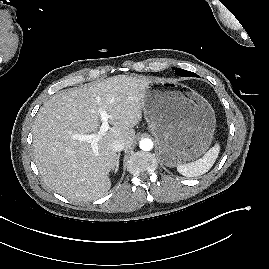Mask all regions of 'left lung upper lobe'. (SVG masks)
I'll list each match as a JSON object with an SVG mask.
<instances>
[{
    "label": "left lung upper lobe",
    "instance_id": "1",
    "mask_svg": "<svg viewBox=\"0 0 269 269\" xmlns=\"http://www.w3.org/2000/svg\"><path fill=\"white\" fill-rule=\"evenodd\" d=\"M175 74L182 77H198L197 74L187 71V70L180 69V68L175 69Z\"/></svg>",
    "mask_w": 269,
    "mask_h": 269
}]
</instances>
